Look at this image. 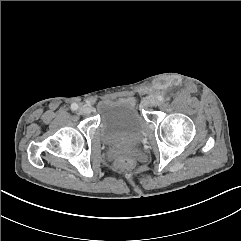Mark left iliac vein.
I'll list each match as a JSON object with an SVG mask.
<instances>
[{
  "label": "left iliac vein",
  "instance_id": "obj_1",
  "mask_svg": "<svg viewBox=\"0 0 241 241\" xmlns=\"http://www.w3.org/2000/svg\"><path fill=\"white\" fill-rule=\"evenodd\" d=\"M157 104H158V101L155 98H150V99L146 100L144 103V105L149 106V107L156 106Z\"/></svg>",
  "mask_w": 241,
  "mask_h": 241
}]
</instances>
